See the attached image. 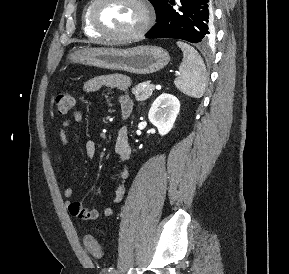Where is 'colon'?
Masks as SVG:
<instances>
[{"label": "colon", "instance_id": "colon-1", "mask_svg": "<svg viewBox=\"0 0 289 274\" xmlns=\"http://www.w3.org/2000/svg\"><path fill=\"white\" fill-rule=\"evenodd\" d=\"M54 103L60 114H66L74 105V97L69 90L63 88L56 93ZM84 242L90 254L96 258H100L102 256V247L93 236L87 235Z\"/></svg>", "mask_w": 289, "mask_h": 274}]
</instances>
